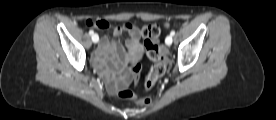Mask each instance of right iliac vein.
I'll use <instances>...</instances> for the list:
<instances>
[{
    "label": "right iliac vein",
    "mask_w": 276,
    "mask_h": 120,
    "mask_svg": "<svg viewBox=\"0 0 276 120\" xmlns=\"http://www.w3.org/2000/svg\"><path fill=\"white\" fill-rule=\"evenodd\" d=\"M97 39H98V35H97V34H94V35L92 36V41H93L94 43H97V42H98Z\"/></svg>",
    "instance_id": "1"
}]
</instances>
